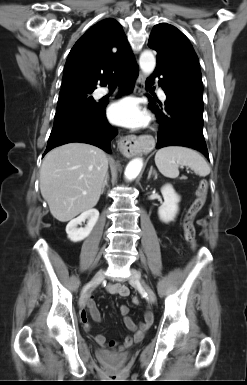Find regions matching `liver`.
I'll return each instance as SVG.
<instances>
[{
  "instance_id": "1",
  "label": "liver",
  "mask_w": 247,
  "mask_h": 385,
  "mask_svg": "<svg viewBox=\"0 0 247 385\" xmlns=\"http://www.w3.org/2000/svg\"><path fill=\"white\" fill-rule=\"evenodd\" d=\"M107 170V155L90 144L67 143L46 154L40 169V190L52 216L67 222L93 208Z\"/></svg>"
}]
</instances>
